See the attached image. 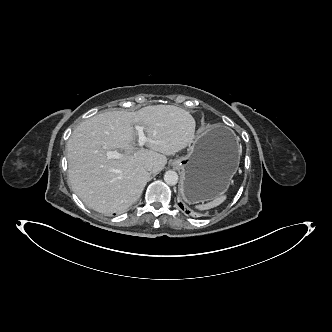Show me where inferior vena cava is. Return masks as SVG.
Masks as SVG:
<instances>
[{"mask_svg":"<svg viewBox=\"0 0 332 332\" xmlns=\"http://www.w3.org/2000/svg\"><path fill=\"white\" fill-rule=\"evenodd\" d=\"M145 169L147 171H152L153 170V163L149 162L145 164Z\"/></svg>","mask_w":332,"mask_h":332,"instance_id":"1","label":"inferior vena cava"}]
</instances>
